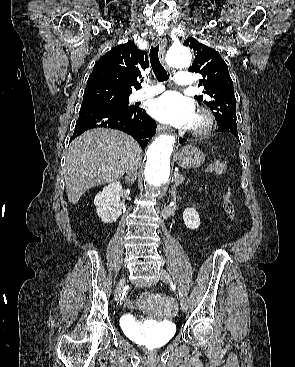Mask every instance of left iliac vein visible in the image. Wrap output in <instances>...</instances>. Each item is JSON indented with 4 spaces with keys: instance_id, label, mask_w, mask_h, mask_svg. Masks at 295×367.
<instances>
[{
    "instance_id": "4c4485c4",
    "label": "left iliac vein",
    "mask_w": 295,
    "mask_h": 367,
    "mask_svg": "<svg viewBox=\"0 0 295 367\" xmlns=\"http://www.w3.org/2000/svg\"><path fill=\"white\" fill-rule=\"evenodd\" d=\"M160 278L164 282H170V281H172V277L164 269H161L160 270ZM176 286H177V291H178V294H179V301H180L181 309L183 311H186L187 310V300H186V297L184 295V291H183V289L181 288L180 285L176 284Z\"/></svg>"
}]
</instances>
